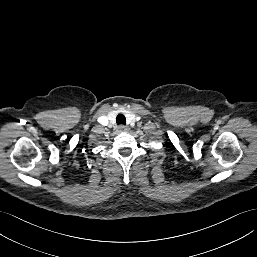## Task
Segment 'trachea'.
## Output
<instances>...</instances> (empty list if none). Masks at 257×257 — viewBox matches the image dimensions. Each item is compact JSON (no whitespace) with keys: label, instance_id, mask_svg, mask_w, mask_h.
<instances>
[{"label":"trachea","instance_id":"3493384b","mask_svg":"<svg viewBox=\"0 0 257 257\" xmlns=\"http://www.w3.org/2000/svg\"><path fill=\"white\" fill-rule=\"evenodd\" d=\"M116 122L118 125L120 124H123L125 125L126 124V118L123 114H118L117 117H116Z\"/></svg>","mask_w":257,"mask_h":257}]
</instances>
